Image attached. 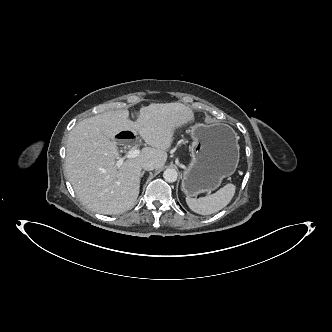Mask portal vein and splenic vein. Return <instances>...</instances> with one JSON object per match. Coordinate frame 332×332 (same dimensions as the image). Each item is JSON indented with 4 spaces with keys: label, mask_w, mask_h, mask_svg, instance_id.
<instances>
[{
    "label": "portal vein and splenic vein",
    "mask_w": 332,
    "mask_h": 332,
    "mask_svg": "<svg viewBox=\"0 0 332 332\" xmlns=\"http://www.w3.org/2000/svg\"><path fill=\"white\" fill-rule=\"evenodd\" d=\"M140 154V150L137 147H134L132 149H130L123 157H120L117 162H116V166L120 167L125 159H132L137 157Z\"/></svg>",
    "instance_id": "1"
}]
</instances>
